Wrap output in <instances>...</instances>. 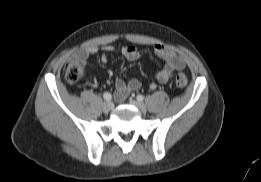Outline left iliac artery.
Returning <instances> with one entry per match:
<instances>
[{
    "instance_id": "left-iliac-artery-1",
    "label": "left iliac artery",
    "mask_w": 261,
    "mask_h": 182,
    "mask_svg": "<svg viewBox=\"0 0 261 182\" xmlns=\"http://www.w3.org/2000/svg\"><path fill=\"white\" fill-rule=\"evenodd\" d=\"M136 98H137V100L140 101V102H142V101L144 100V96L141 95V94L137 95Z\"/></svg>"
}]
</instances>
